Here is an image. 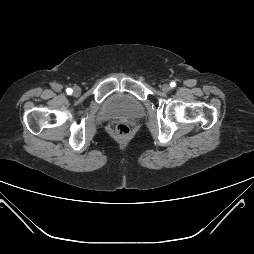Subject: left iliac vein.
Returning <instances> with one entry per match:
<instances>
[{"mask_svg": "<svg viewBox=\"0 0 254 254\" xmlns=\"http://www.w3.org/2000/svg\"><path fill=\"white\" fill-rule=\"evenodd\" d=\"M162 90H163L164 92H169V91H170V86H169L168 84H164V85L162 86Z\"/></svg>", "mask_w": 254, "mask_h": 254, "instance_id": "obj_1", "label": "left iliac vein"}]
</instances>
